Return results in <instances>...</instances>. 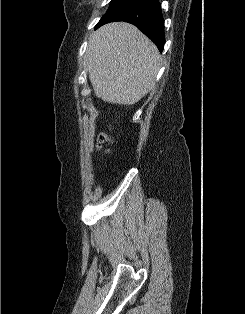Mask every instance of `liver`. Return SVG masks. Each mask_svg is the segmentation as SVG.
<instances>
[{
	"label": "liver",
	"instance_id": "liver-1",
	"mask_svg": "<svg viewBox=\"0 0 245 314\" xmlns=\"http://www.w3.org/2000/svg\"><path fill=\"white\" fill-rule=\"evenodd\" d=\"M85 59L96 97L133 105L154 88L161 56L134 25L114 22L92 33Z\"/></svg>",
	"mask_w": 245,
	"mask_h": 314
}]
</instances>
